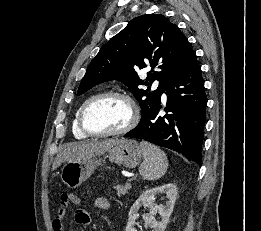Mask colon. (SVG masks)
I'll list each match as a JSON object with an SVG mask.
<instances>
[{
    "mask_svg": "<svg viewBox=\"0 0 261 231\" xmlns=\"http://www.w3.org/2000/svg\"><path fill=\"white\" fill-rule=\"evenodd\" d=\"M74 197L71 193H63L61 196V205H60V209L63 212H66L68 209V206L74 201Z\"/></svg>",
    "mask_w": 261,
    "mask_h": 231,
    "instance_id": "colon-1",
    "label": "colon"
}]
</instances>
